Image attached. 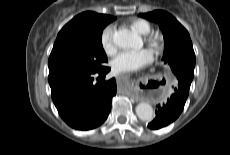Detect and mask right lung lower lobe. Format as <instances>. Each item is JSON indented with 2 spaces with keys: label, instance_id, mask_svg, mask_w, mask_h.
<instances>
[{
  "label": "right lung lower lobe",
  "instance_id": "right-lung-lower-lobe-1",
  "mask_svg": "<svg viewBox=\"0 0 230 155\" xmlns=\"http://www.w3.org/2000/svg\"><path fill=\"white\" fill-rule=\"evenodd\" d=\"M110 71H72L49 74L52 100L62 119L72 128L90 130L100 126L111 110L116 82L100 80ZM98 75L97 83L94 76ZM100 80V81H99Z\"/></svg>",
  "mask_w": 230,
  "mask_h": 155
}]
</instances>
